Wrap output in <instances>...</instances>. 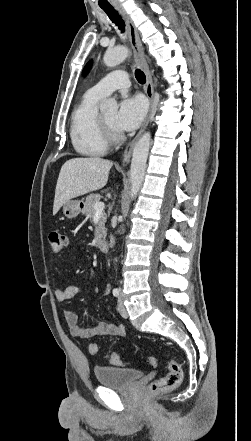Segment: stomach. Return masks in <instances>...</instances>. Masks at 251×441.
<instances>
[{
    "label": "stomach",
    "mask_w": 251,
    "mask_h": 441,
    "mask_svg": "<svg viewBox=\"0 0 251 441\" xmlns=\"http://www.w3.org/2000/svg\"><path fill=\"white\" fill-rule=\"evenodd\" d=\"M83 205L81 200H68L63 204V214L66 218L72 219L83 211Z\"/></svg>",
    "instance_id": "0dacf381"
}]
</instances>
